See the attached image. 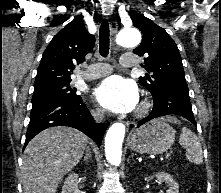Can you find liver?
<instances>
[{"label":"liver","mask_w":221,"mask_h":193,"mask_svg":"<svg viewBox=\"0 0 221 193\" xmlns=\"http://www.w3.org/2000/svg\"><path fill=\"white\" fill-rule=\"evenodd\" d=\"M177 121L175 118H167ZM88 138L70 127H50L27 145L22 164L24 193H56L62 178L81 160Z\"/></svg>","instance_id":"6515ba94"}]
</instances>
